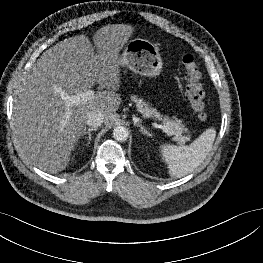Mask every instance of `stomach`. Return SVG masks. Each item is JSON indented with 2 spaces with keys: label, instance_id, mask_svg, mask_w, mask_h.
Masks as SVG:
<instances>
[{
  "label": "stomach",
  "instance_id": "1",
  "mask_svg": "<svg viewBox=\"0 0 263 263\" xmlns=\"http://www.w3.org/2000/svg\"><path fill=\"white\" fill-rule=\"evenodd\" d=\"M119 59L122 66L149 78L159 76L162 71L163 62L158 48L145 39L128 41Z\"/></svg>",
  "mask_w": 263,
  "mask_h": 263
}]
</instances>
